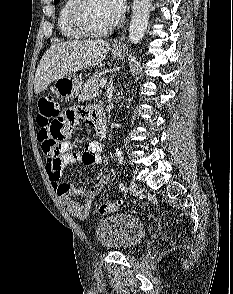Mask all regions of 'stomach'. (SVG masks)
<instances>
[{
  "mask_svg": "<svg viewBox=\"0 0 233 294\" xmlns=\"http://www.w3.org/2000/svg\"><path fill=\"white\" fill-rule=\"evenodd\" d=\"M111 55L116 59H123L125 57V53L121 48H113L111 50ZM53 88L57 96L62 99L69 100L75 98L79 94L81 84L76 75L68 74L64 77L56 79L54 81Z\"/></svg>",
  "mask_w": 233,
  "mask_h": 294,
  "instance_id": "stomach-1",
  "label": "stomach"
}]
</instances>
